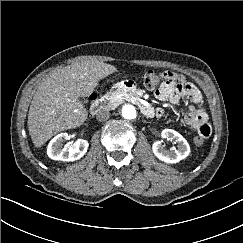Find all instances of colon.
Listing matches in <instances>:
<instances>
[{"label":"colon","instance_id":"1","mask_svg":"<svg viewBox=\"0 0 243 243\" xmlns=\"http://www.w3.org/2000/svg\"><path fill=\"white\" fill-rule=\"evenodd\" d=\"M165 78V73L149 70L144 74L143 83L147 89H154ZM205 138L201 135H197L194 138V143L198 146L202 145Z\"/></svg>","mask_w":243,"mask_h":243}]
</instances>
